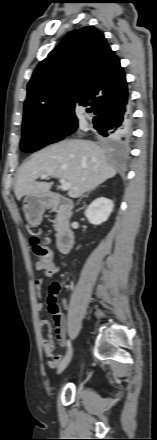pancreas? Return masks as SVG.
<instances>
[{
    "instance_id": "obj_1",
    "label": "pancreas",
    "mask_w": 157,
    "mask_h": 440,
    "mask_svg": "<svg viewBox=\"0 0 157 440\" xmlns=\"http://www.w3.org/2000/svg\"><path fill=\"white\" fill-rule=\"evenodd\" d=\"M54 228H55V230L58 229V219L54 220Z\"/></svg>"
}]
</instances>
